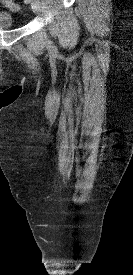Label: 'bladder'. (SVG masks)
<instances>
[{"mask_svg":"<svg viewBox=\"0 0 133 275\" xmlns=\"http://www.w3.org/2000/svg\"><path fill=\"white\" fill-rule=\"evenodd\" d=\"M15 26L14 17L9 12L0 10V29H13Z\"/></svg>","mask_w":133,"mask_h":275,"instance_id":"bladder-1","label":"bladder"}]
</instances>
